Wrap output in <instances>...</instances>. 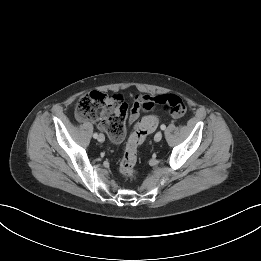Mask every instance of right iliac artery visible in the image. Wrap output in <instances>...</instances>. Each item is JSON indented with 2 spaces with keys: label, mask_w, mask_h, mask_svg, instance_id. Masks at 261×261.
<instances>
[{
  "label": "right iliac artery",
  "mask_w": 261,
  "mask_h": 261,
  "mask_svg": "<svg viewBox=\"0 0 261 261\" xmlns=\"http://www.w3.org/2000/svg\"><path fill=\"white\" fill-rule=\"evenodd\" d=\"M93 137H94V138H97V137H98V134H97V133H94V134H93Z\"/></svg>",
  "instance_id": "right-iliac-artery-1"
}]
</instances>
